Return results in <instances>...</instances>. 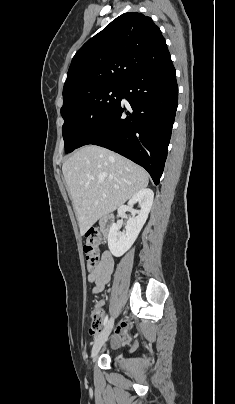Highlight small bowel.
I'll return each instance as SVG.
<instances>
[{"label": "small bowel", "instance_id": "obj_1", "mask_svg": "<svg viewBox=\"0 0 235 404\" xmlns=\"http://www.w3.org/2000/svg\"><path fill=\"white\" fill-rule=\"evenodd\" d=\"M114 269V259L109 251H104L101 254L100 261L97 266L90 271L88 274V281L94 283L92 289L93 294L100 293L103 291L105 285L109 282L111 274ZM97 306H102L103 302L99 301ZM128 323L126 321L121 322L115 329V338L113 340L114 344H117L121 340V335L126 331ZM99 332V328L91 329L90 334L93 337Z\"/></svg>", "mask_w": 235, "mask_h": 404}]
</instances>
